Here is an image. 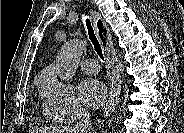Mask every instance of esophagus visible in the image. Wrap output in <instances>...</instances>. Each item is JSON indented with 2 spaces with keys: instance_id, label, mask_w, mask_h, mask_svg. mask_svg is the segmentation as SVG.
Segmentation results:
<instances>
[{
  "instance_id": "1",
  "label": "esophagus",
  "mask_w": 184,
  "mask_h": 133,
  "mask_svg": "<svg viewBox=\"0 0 184 133\" xmlns=\"http://www.w3.org/2000/svg\"><path fill=\"white\" fill-rule=\"evenodd\" d=\"M92 14V19H93V24L94 28L97 34V37L102 45V49L104 50V53L107 58V63L109 68L111 69V79L115 78L116 75V69H115V62H114V52H113V44L111 40V34L109 32V29L102 19V17L96 13L95 11H91ZM105 42V45H104ZM115 100L112 97V93H110L109 100L104 107V116L107 117L110 115V113L114 110L115 108Z\"/></svg>"
}]
</instances>
